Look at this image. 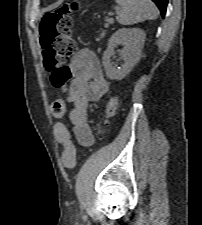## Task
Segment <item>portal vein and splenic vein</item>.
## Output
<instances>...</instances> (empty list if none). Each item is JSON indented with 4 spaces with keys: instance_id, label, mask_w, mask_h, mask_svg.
I'll list each match as a JSON object with an SVG mask.
<instances>
[{
    "instance_id": "1",
    "label": "portal vein and splenic vein",
    "mask_w": 202,
    "mask_h": 225,
    "mask_svg": "<svg viewBox=\"0 0 202 225\" xmlns=\"http://www.w3.org/2000/svg\"><path fill=\"white\" fill-rule=\"evenodd\" d=\"M108 22H109V23H112V22H113V18H109V19H108Z\"/></svg>"
}]
</instances>
